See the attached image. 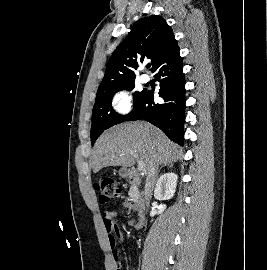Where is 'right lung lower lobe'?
Instances as JSON below:
<instances>
[{
	"label": "right lung lower lobe",
	"mask_w": 267,
	"mask_h": 270,
	"mask_svg": "<svg viewBox=\"0 0 267 270\" xmlns=\"http://www.w3.org/2000/svg\"><path fill=\"white\" fill-rule=\"evenodd\" d=\"M153 72L160 82L159 96L164 102L156 103L153 91L146 90L124 121L146 120L160 128L169 139L183 145L185 77L177 44L159 60Z\"/></svg>",
	"instance_id": "1"
}]
</instances>
